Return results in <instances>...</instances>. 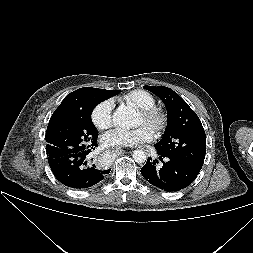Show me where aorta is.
<instances>
[{
  "instance_id": "obj_1",
  "label": "aorta",
  "mask_w": 253,
  "mask_h": 253,
  "mask_svg": "<svg viewBox=\"0 0 253 253\" xmlns=\"http://www.w3.org/2000/svg\"><path fill=\"white\" fill-rule=\"evenodd\" d=\"M137 114L135 110L128 106H120L113 114V122L123 128H132L136 123ZM133 159L136 163H144L147 159L146 153L142 150H135L133 152Z\"/></svg>"
}]
</instances>
